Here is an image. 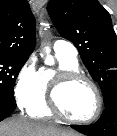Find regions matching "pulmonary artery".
I'll use <instances>...</instances> for the list:
<instances>
[{"label": "pulmonary artery", "mask_w": 117, "mask_h": 136, "mask_svg": "<svg viewBox=\"0 0 117 136\" xmlns=\"http://www.w3.org/2000/svg\"><path fill=\"white\" fill-rule=\"evenodd\" d=\"M53 48L56 54L62 55L72 60H77V48L70 41L64 39L57 40L54 43Z\"/></svg>", "instance_id": "obj_1"}]
</instances>
